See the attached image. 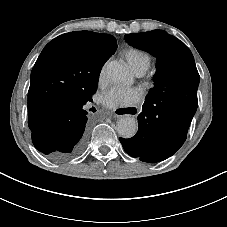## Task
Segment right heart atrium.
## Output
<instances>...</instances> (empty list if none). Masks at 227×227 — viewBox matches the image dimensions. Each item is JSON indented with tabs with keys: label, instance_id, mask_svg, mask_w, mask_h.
Instances as JSON below:
<instances>
[{
	"label": "right heart atrium",
	"instance_id": "obj_1",
	"mask_svg": "<svg viewBox=\"0 0 227 227\" xmlns=\"http://www.w3.org/2000/svg\"><path fill=\"white\" fill-rule=\"evenodd\" d=\"M106 64H103L98 72V82L102 83L105 80L106 72H105Z\"/></svg>",
	"mask_w": 227,
	"mask_h": 227
}]
</instances>
